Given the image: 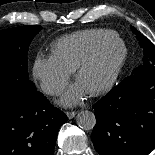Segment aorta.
Returning a JSON list of instances; mask_svg holds the SVG:
<instances>
[{
  "instance_id": "762f6f07",
  "label": "aorta",
  "mask_w": 155,
  "mask_h": 155,
  "mask_svg": "<svg viewBox=\"0 0 155 155\" xmlns=\"http://www.w3.org/2000/svg\"><path fill=\"white\" fill-rule=\"evenodd\" d=\"M77 125L84 130H91L96 125L95 114L88 110H83L76 117Z\"/></svg>"
}]
</instances>
